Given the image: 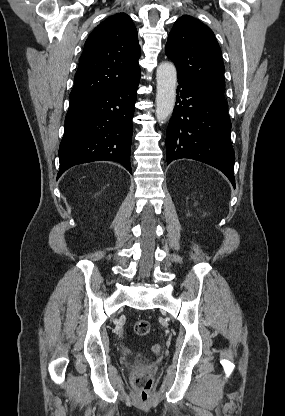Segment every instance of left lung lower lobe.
<instances>
[{
  "instance_id": "1",
  "label": "left lung lower lobe",
  "mask_w": 285,
  "mask_h": 416,
  "mask_svg": "<svg viewBox=\"0 0 285 416\" xmlns=\"http://www.w3.org/2000/svg\"><path fill=\"white\" fill-rule=\"evenodd\" d=\"M176 105L166 135L167 164L189 158L222 171L235 188V154L225 98L178 79Z\"/></svg>"
}]
</instances>
